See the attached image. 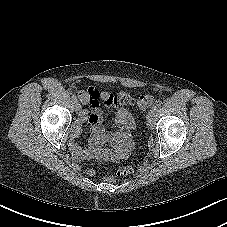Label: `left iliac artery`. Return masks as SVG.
Here are the masks:
<instances>
[{
  "mask_svg": "<svg viewBox=\"0 0 227 227\" xmlns=\"http://www.w3.org/2000/svg\"><path fill=\"white\" fill-rule=\"evenodd\" d=\"M161 105H162V102H161V101H158V102L155 104V106L153 107L154 110L157 111V110L161 107Z\"/></svg>",
  "mask_w": 227,
  "mask_h": 227,
  "instance_id": "left-iliac-artery-1",
  "label": "left iliac artery"
}]
</instances>
